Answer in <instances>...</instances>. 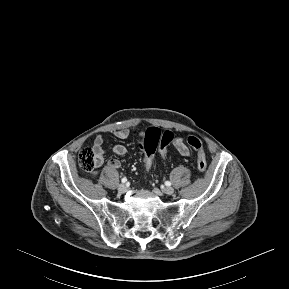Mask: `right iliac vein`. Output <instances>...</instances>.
<instances>
[{
  "label": "right iliac vein",
  "mask_w": 289,
  "mask_h": 289,
  "mask_svg": "<svg viewBox=\"0 0 289 289\" xmlns=\"http://www.w3.org/2000/svg\"><path fill=\"white\" fill-rule=\"evenodd\" d=\"M128 188L125 184H120L119 187H118V192L123 194L125 192H127Z\"/></svg>",
  "instance_id": "1"
}]
</instances>
